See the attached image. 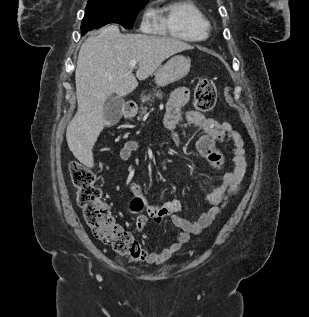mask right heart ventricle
Instances as JSON below:
<instances>
[{
    "label": "right heart ventricle",
    "instance_id": "1",
    "mask_svg": "<svg viewBox=\"0 0 309 317\" xmlns=\"http://www.w3.org/2000/svg\"><path fill=\"white\" fill-rule=\"evenodd\" d=\"M155 16L159 26L173 37L195 42L208 36L209 21L192 1L168 3Z\"/></svg>",
    "mask_w": 309,
    "mask_h": 317
}]
</instances>
